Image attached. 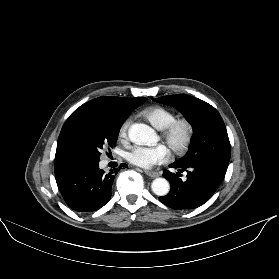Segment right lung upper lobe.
<instances>
[{
	"label": "right lung upper lobe",
	"instance_id": "obj_1",
	"mask_svg": "<svg viewBox=\"0 0 279 279\" xmlns=\"http://www.w3.org/2000/svg\"><path fill=\"white\" fill-rule=\"evenodd\" d=\"M146 100L144 97L123 98V97H98L88 101L77 108L66 120L62 127L61 133L57 142V150L55 155V168L68 163L63 152V145L66 136L70 129L80 120L96 115L110 114H130V111Z\"/></svg>",
	"mask_w": 279,
	"mask_h": 279
}]
</instances>
